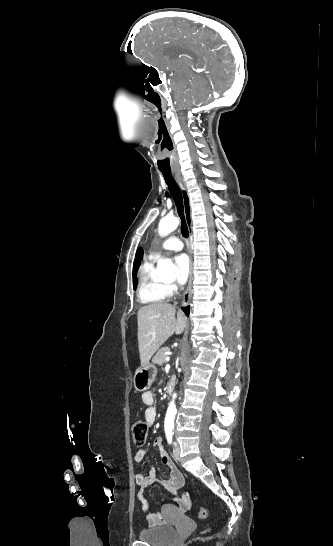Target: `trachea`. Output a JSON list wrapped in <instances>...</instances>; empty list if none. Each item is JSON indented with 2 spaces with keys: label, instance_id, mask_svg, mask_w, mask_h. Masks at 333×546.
Wrapping results in <instances>:
<instances>
[{
  "label": "trachea",
  "instance_id": "trachea-1",
  "mask_svg": "<svg viewBox=\"0 0 333 546\" xmlns=\"http://www.w3.org/2000/svg\"><path fill=\"white\" fill-rule=\"evenodd\" d=\"M162 174L168 186V189L174 199V202L177 207L178 215L181 219V233L185 238H187L189 235V232H188V227H187L184 212H183V200H182L181 191L171 173L162 172Z\"/></svg>",
  "mask_w": 333,
  "mask_h": 546
}]
</instances>
